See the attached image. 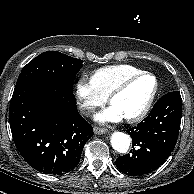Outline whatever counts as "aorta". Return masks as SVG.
<instances>
[{
    "mask_svg": "<svg viewBox=\"0 0 194 194\" xmlns=\"http://www.w3.org/2000/svg\"><path fill=\"white\" fill-rule=\"evenodd\" d=\"M131 139L123 132H114L111 136V145L114 150L126 153L130 147Z\"/></svg>",
    "mask_w": 194,
    "mask_h": 194,
    "instance_id": "aorta-1",
    "label": "aorta"
}]
</instances>
